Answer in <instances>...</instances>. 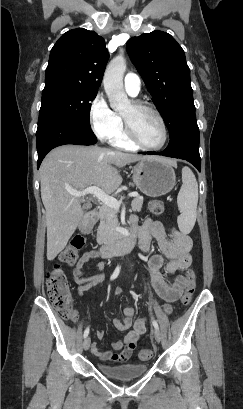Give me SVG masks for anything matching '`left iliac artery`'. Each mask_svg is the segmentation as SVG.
I'll list each match as a JSON object with an SVG mask.
<instances>
[{
    "mask_svg": "<svg viewBox=\"0 0 243 409\" xmlns=\"http://www.w3.org/2000/svg\"><path fill=\"white\" fill-rule=\"evenodd\" d=\"M152 325L154 326L155 329H158V330H159L158 323H157V321H156L154 318H152Z\"/></svg>",
    "mask_w": 243,
    "mask_h": 409,
    "instance_id": "1",
    "label": "left iliac artery"
}]
</instances>
